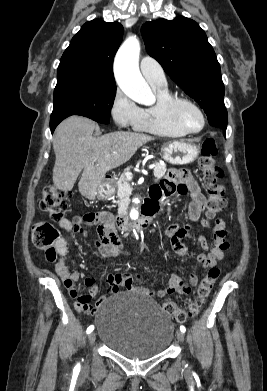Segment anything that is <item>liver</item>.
<instances>
[{
	"label": "liver",
	"mask_w": 267,
	"mask_h": 391,
	"mask_svg": "<svg viewBox=\"0 0 267 391\" xmlns=\"http://www.w3.org/2000/svg\"><path fill=\"white\" fill-rule=\"evenodd\" d=\"M95 128L94 121L82 116L68 117L57 126L53 139V183L59 190H72L83 170L79 192L94 199L108 171L126 163L142 145L154 140L147 134L125 131L96 138Z\"/></svg>",
	"instance_id": "1"
}]
</instances>
